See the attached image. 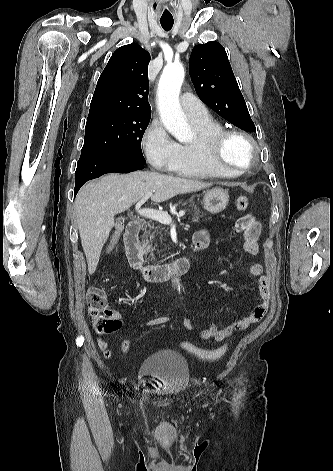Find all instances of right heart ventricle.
Listing matches in <instances>:
<instances>
[{"label": "right heart ventricle", "instance_id": "right-heart-ventricle-1", "mask_svg": "<svg viewBox=\"0 0 333 471\" xmlns=\"http://www.w3.org/2000/svg\"><path fill=\"white\" fill-rule=\"evenodd\" d=\"M190 120L196 131V137L191 142L178 144V155L170 171L180 176L201 179L238 175L216 167L201 143L210 135L221 131L223 126L209 114L201 119Z\"/></svg>", "mask_w": 333, "mask_h": 471}]
</instances>
